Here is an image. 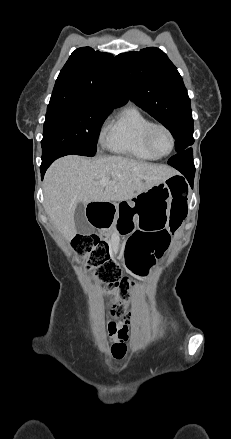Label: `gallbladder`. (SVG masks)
Instances as JSON below:
<instances>
[{
  "label": "gallbladder",
  "mask_w": 231,
  "mask_h": 439,
  "mask_svg": "<svg viewBox=\"0 0 231 439\" xmlns=\"http://www.w3.org/2000/svg\"><path fill=\"white\" fill-rule=\"evenodd\" d=\"M74 222L78 233L91 234L93 232V228L89 225V223L86 220L85 206L82 203H79L75 209Z\"/></svg>",
  "instance_id": "1"
}]
</instances>
